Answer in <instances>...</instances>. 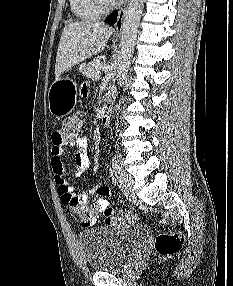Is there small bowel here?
Returning <instances> with one entry per match:
<instances>
[{
	"label": "small bowel",
	"mask_w": 233,
	"mask_h": 286,
	"mask_svg": "<svg viewBox=\"0 0 233 286\" xmlns=\"http://www.w3.org/2000/svg\"><path fill=\"white\" fill-rule=\"evenodd\" d=\"M88 87L83 86L81 89V94L87 95ZM71 148L73 152V165L75 167L74 175L80 176L82 171L89 165L88 141L85 137H71V136H60L57 131L52 134V147H51V167L54 174L55 182L58 186V194L60 196L61 202L68 206V200L71 198H78L80 202V208L88 207V200L91 196H96L98 199L91 206L95 213L92 217V222H94L98 216L97 212L105 210L108 206L107 197L111 193V189L105 184H96L92 186L83 195H78L75 191V187L66 178V168L63 161V156ZM68 213L73 214L72 211ZM77 220L82 226L86 227L88 225L84 224L81 219Z\"/></svg>",
	"instance_id": "obj_1"
}]
</instances>
